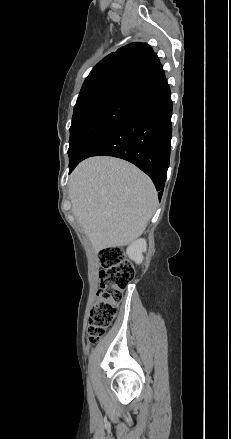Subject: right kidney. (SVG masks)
<instances>
[{
	"label": "right kidney",
	"instance_id": "right-kidney-1",
	"mask_svg": "<svg viewBox=\"0 0 231 439\" xmlns=\"http://www.w3.org/2000/svg\"><path fill=\"white\" fill-rule=\"evenodd\" d=\"M146 247V240L138 239L127 248L126 253L131 260L135 261L137 264H140L143 260L142 253L146 251Z\"/></svg>",
	"mask_w": 231,
	"mask_h": 439
}]
</instances>
